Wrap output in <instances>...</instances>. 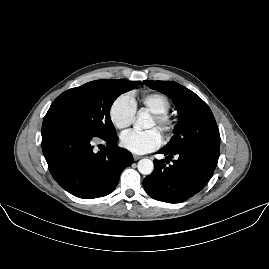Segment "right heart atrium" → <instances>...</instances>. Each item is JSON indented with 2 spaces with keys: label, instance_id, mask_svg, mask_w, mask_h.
<instances>
[{
  "label": "right heart atrium",
  "instance_id": "obj_1",
  "mask_svg": "<svg viewBox=\"0 0 269 269\" xmlns=\"http://www.w3.org/2000/svg\"><path fill=\"white\" fill-rule=\"evenodd\" d=\"M135 102L130 94L117 96L109 106L108 117L118 130H126L135 120Z\"/></svg>",
  "mask_w": 269,
  "mask_h": 269
}]
</instances>
